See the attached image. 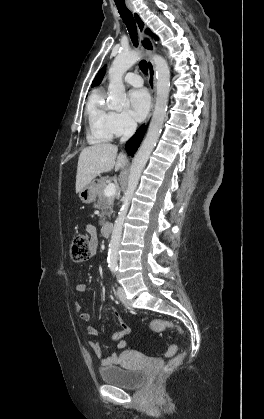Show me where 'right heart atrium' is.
<instances>
[{"instance_id":"1","label":"right heart atrium","mask_w":264,"mask_h":419,"mask_svg":"<svg viewBox=\"0 0 264 419\" xmlns=\"http://www.w3.org/2000/svg\"><path fill=\"white\" fill-rule=\"evenodd\" d=\"M110 127L113 135L121 136L134 131L136 123L129 112L114 111L110 116Z\"/></svg>"}]
</instances>
